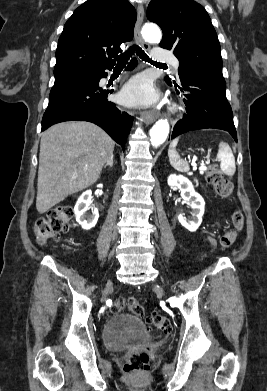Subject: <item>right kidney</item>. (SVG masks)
<instances>
[{"label": "right kidney", "instance_id": "1", "mask_svg": "<svg viewBox=\"0 0 267 391\" xmlns=\"http://www.w3.org/2000/svg\"><path fill=\"white\" fill-rule=\"evenodd\" d=\"M92 191L87 190L81 194L74 207L76 220L84 230L93 228L99 218V212L97 208L91 206L92 203ZM91 208V213L87 211Z\"/></svg>", "mask_w": 267, "mask_h": 391}]
</instances>
